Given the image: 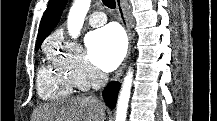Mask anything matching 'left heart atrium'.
Segmentation results:
<instances>
[{
    "instance_id": "1",
    "label": "left heart atrium",
    "mask_w": 217,
    "mask_h": 121,
    "mask_svg": "<svg viewBox=\"0 0 217 121\" xmlns=\"http://www.w3.org/2000/svg\"><path fill=\"white\" fill-rule=\"evenodd\" d=\"M91 62L101 71H112L125 52V39L121 30L114 25L90 33L86 38Z\"/></svg>"
}]
</instances>
